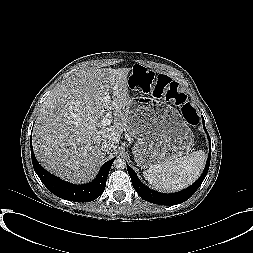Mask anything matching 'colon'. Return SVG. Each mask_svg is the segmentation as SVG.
<instances>
[{
    "label": "colon",
    "mask_w": 253,
    "mask_h": 253,
    "mask_svg": "<svg viewBox=\"0 0 253 253\" xmlns=\"http://www.w3.org/2000/svg\"><path fill=\"white\" fill-rule=\"evenodd\" d=\"M153 73L149 72L142 66H136L133 70L132 77L134 80H144L152 78ZM154 96L157 99H169L176 105L180 106L184 118L190 124H196L198 116L194 108L188 103L186 95L177 89L174 82L163 75H155Z\"/></svg>",
    "instance_id": "5ec220e1"
}]
</instances>
